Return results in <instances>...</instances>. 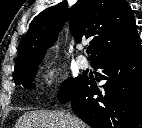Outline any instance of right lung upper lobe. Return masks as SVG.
I'll list each match as a JSON object with an SVG mask.
<instances>
[{
  "instance_id": "right-lung-upper-lobe-1",
  "label": "right lung upper lobe",
  "mask_w": 142,
  "mask_h": 128,
  "mask_svg": "<svg viewBox=\"0 0 142 128\" xmlns=\"http://www.w3.org/2000/svg\"><path fill=\"white\" fill-rule=\"evenodd\" d=\"M66 17L70 19L76 41L91 39L92 65L140 43L133 12L124 0H78L70 10L67 1H63L43 10L32 20L22 39L15 67L42 59Z\"/></svg>"
}]
</instances>
